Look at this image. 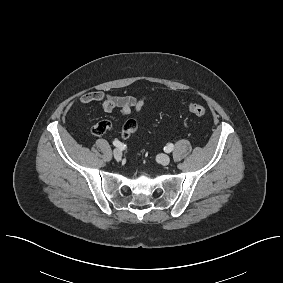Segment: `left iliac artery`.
<instances>
[{
	"mask_svg": "<svg viewBox=\"0 0 283 283\" xmlns=\"http://www.w3.org/2000/svg\"><path fill=\"white\" fill-rule=\"evenodd\" d=\"M174 149V145L172 143L168 144L165 148L167 152H171Z\"/></svg>",
	"mask_w": 283,
	"mask_h": 283,
	"instance_id": "left-iliac-artery-1",
	"label": "left iliac artery"
}]
</instances>
